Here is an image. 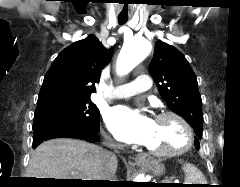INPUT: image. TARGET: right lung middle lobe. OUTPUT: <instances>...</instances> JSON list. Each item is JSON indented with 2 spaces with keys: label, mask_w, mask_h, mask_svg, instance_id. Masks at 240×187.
Listing matches in <instances>:
<instances>
[{
  "label": "right lung middle lobe",
  "mask_w": 240,
  "mask_h": 187,
  "mask_svg": "<svg viewBox=\"0 0 240 187\" xmlns=\"http://www.w3.org/2000/svg\"><path fill=\"white\" fill-rule=\"evenodd\" d=\"M100 112L90 98L61 99L37 105L33 130L50 123H60L76 128L99 124Z\"/></svg>",
  "instance_id": "1"
}]
</instances>
